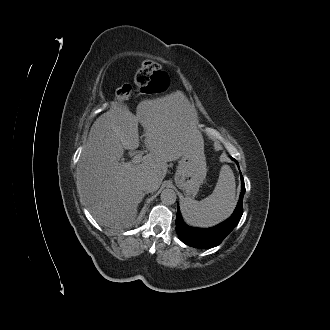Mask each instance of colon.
<instances>
[{
  "label": "colon",
  "instance_id": "5ec220e1",
  "mask_svg": "<svg viewBox=\"0 0 330 330\" xmlns=\"http://www.w3.org/2000/svg\"><path fill=\"white\" fill-rule=\"evenodd\" d=\"M134 85L123 84L118 87L116 95L121 99H130L139 93H157L167 85V76L160 63L154 60L145 61L136 70Z\"/></svg>",
  "mask_w": 330,
  "mask_h": 330
}]
</instances>
